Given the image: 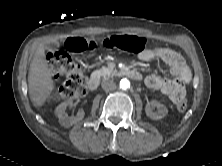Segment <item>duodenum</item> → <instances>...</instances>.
<instances>
[{"instance_id": "410a0bca", "label": "duodenum", "mask_w": 222, "mask_h": 166, "mask_svg": "<svg viewBox=\"0 0 222 166\" xmlns=\"http://www.w3.org/2000/svg\"><path fill=\"white\" fill-rule=\"evenodd\" d=\"M121 74L124 75V76H127L131 79H134V80H140L141 79L140 73L136 70H133V69H123L121 71ZM99 83H100L99 75L94 74L88 79V81L86 83L87 89L90 90V91H94L98 88Z\"/></svg>"}]
</instances>
